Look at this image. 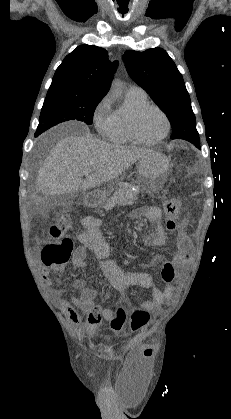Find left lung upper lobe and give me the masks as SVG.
Segmentation results:
<instances>
[{
    "instance_id": "left-lung-upper-lobe-1",
    "label": "left lung upper lobe",
    "mask_w": 231,
    "mask_h": 419,
    "mask_svg": "<svg viewBox=\"0 0 231 419\" xmlns=\"http://www.w3.org/2000/svg\"><path fill=\"white\" fill-rule=\"evenodd\" d=\"M123 60L128 74L167 114L171 139L199 143L196 119L183 77L174 61L162 48L144 52L126 51Z\"/></svg>"
}]
</instances>
